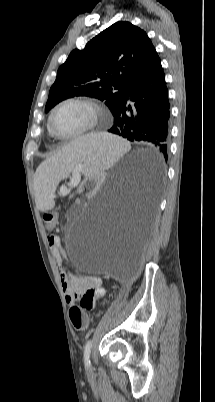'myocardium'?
I'll list each match as a JSON object with an SVG mask.
<instances>
[{
  "label": "myocardium",
  "instance_id": "myocardium-1",
  "mask_svg": "<svg viewBox=\"0 0 215 402\" xmlns=\"http://www.w3.org/2000/svg\"><path fill=\"white\" fill-rule=\"evenodd\" d=\"M71 103L81 104V105H84L87 108H89V110L91 111L90 122L88 123V125L85 128H83L82 130H80L76 133H73L70 135H60L53 128L54 114L62 106L66 105V104H71ZM104 114H105V111H104L103 107L96 100H94L92 98L68 97V98H65V99L61 100L60 102H58L50 111V114L48 117V130L53 137L60 139V140L78 139V138L84 137V136L90 134L91 132H93L98 127V125L101 121V118L104 116Z\"/></svg>",
  "mask_w": 215,
  "mask_h": 402
}]
</instances>
